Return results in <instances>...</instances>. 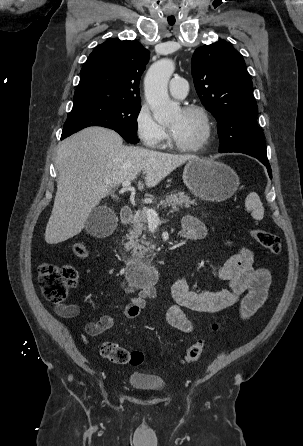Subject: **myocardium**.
Wrapping results in <instances>:
<instances>
[{
	"instance_id": "myocardium-1",
	"label": "myocardium",
	"mask_w": 303,
	"mask_h": 446,
	"mask_svg": "<svg viewBox=\"0 0 303 446\" xmlns=\"http://www.w3.org/2000/svg\"><path fill=\"white\" fill-rule=\"evenodd\" d=\"M185 113H196L198 114L204 124V132L202 137L196 143L192 145H183L175 141L173 136H170V143L173 148L181 152H198L202 150L210 141L213 133V125L211 117L206 108L197 104L186 105L181 109Z\"/></svg>"
}]
</instances>
